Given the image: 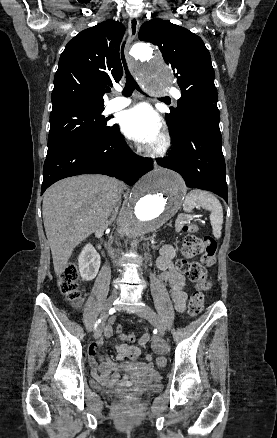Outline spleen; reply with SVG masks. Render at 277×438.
Here are the masks:
<instances>
[{"label":"spleen","mask_w":277,"mask_h":438,"mask_svg":"<svg viewBox=\"0 0 277 438\" xmlns=\"http://www.w3.org/2000/svg\"><path fill=\"white\" fill-rule=\"evenodd\" d=\"M195 204L211 212L210 224L212 226L213 236L214 238H221L223 210L219 200H217L215 196H212V194H209V192H204V190H192V192H189L188 196H186L183 210H185V212H191Z\"/></svg>","instance_id":"3e777b00"}]
</instances>
